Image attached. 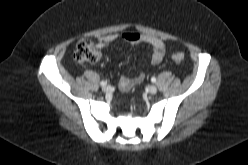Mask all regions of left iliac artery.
Wrapping results in <instances>:
<instances>
[{
	"instance_id": "1",
	"label": "left iliac artery",
	"mask_w": 248,
	"mask_h": 165,
	"mask_svg": "<svg viewBox=\"0 0 248 165\" xmlns=\"http://www.w3.org/2000/svg\"><path fill=\"white\" fill-rule=\"evenodd\" d=\"M151 81H152L153 83H155V82H156V78H155V77H152V78H151Z\"/></svg>"
}]
</instances>
